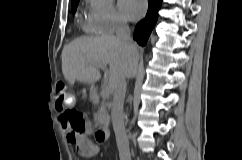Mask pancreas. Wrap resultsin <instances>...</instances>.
I'll list each match as a JSON object with an SVG mask.
<instances>
[{"mask_svg": "<svg viewBox=\"0 0 242 160\" xmlns=\"http://www.w3.org/2000/svg\"><path fill=\"white\" fill-rule=\"evenodd\" d=\"M107 103H102L97 112L94 114L95 126H108L110 122V116L107 112Z\"/></svg>", "mask_w": 242, "mask_h": 160, "instance_id": "obj_1", "label": "pancreas"}]
</instances>
